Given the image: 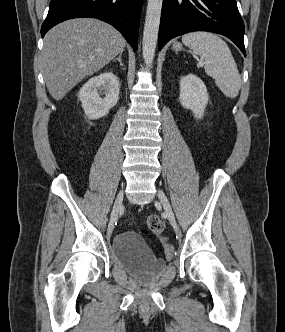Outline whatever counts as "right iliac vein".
Wrapping results in <instances>:
<instances>
[{"label":"right iliac vein","instance_id":"obj_1","mask_svg":"<svg viewBox=\"0 0 285 332\" xmlns=\"http://www.w3.org/2000/svg\"><path fill=\"white\" fill-rule=\"evenodd\" d=\"M123 197H124V192H123V190H121L118 193V195L115 199V202H114L113 210H112L111 217H110V222L108 225V232H111L113 230L114 222L116 221L119 211L122 207Z\"/></svg>","mask_w":285,"mask_h":332}]
</instances>
